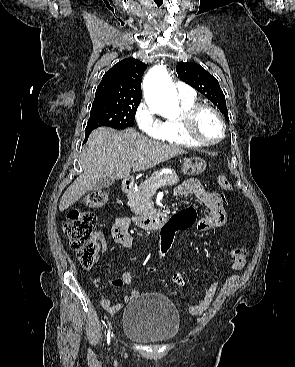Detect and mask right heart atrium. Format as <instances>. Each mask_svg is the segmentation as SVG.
Instances as JSON below:
<instances>
[{
    "label": "right heart atrium",
    "mask_w": 295,
    "mask_h": 367,
    "mask_svg": "<svg viewBox=\"0 0 295 367\" xmlns=\"http://www.w3.org/2000/svg\"><path fill=\"white\" fill-rule=\"evenodd\" d=\"M135 120L140 130L148 136L156 139L162 137L164 133V122L156 117L147 103L142 102L138 105L135 112Z\"/></svg>",
    "instance_id": "obj_1"
}]
</instances>
